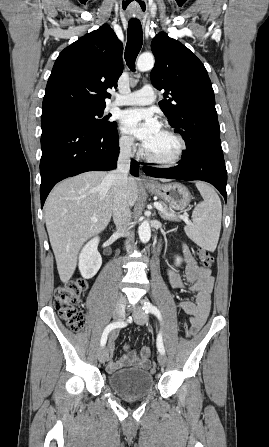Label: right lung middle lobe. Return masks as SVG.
<instances>
[{"label": "right lung middle lobe", "instance_id": "dd1d6c3e", "mask_svg": "<svg viewBox=\"0 0 269 447\" xmlns=\"http://www.w3.org/2000/svg\"><path fill=\"white\" fill-rule=\"evenodd\" d=\"M105 106L103 105H75L66 106L56 109L55 111H64L76 116L80 122L88 127L99 131H114L117 130V123L106 121L109 116H103Z\"/></svg>", "mask_w": 269, "mask_h": 447}]
</instances>
